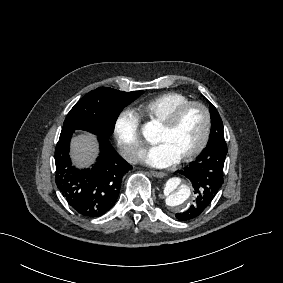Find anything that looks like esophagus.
<instances>
[{"label": "esophagus", "instance_id": "esophagus-1", "mask_svg": "<svg viewBox=\"0 0 283 283\" xmlns=\"http://www.w3.org/2000/svg\"><path fill=\"white\" fill-rule=\"evenodd\" d=\"M150 173L156 178H163L164 176L167 175L166 173L159 171H151Z\"/></svg>", "mask_w": 283, "mask_h": 283}]
</instances>
